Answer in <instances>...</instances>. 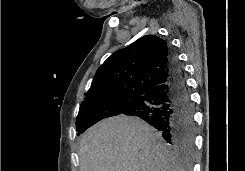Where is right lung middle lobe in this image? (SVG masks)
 <instances>
[{
	"label": "right lung middle lobe",
	"instance_id": "dd1d6c3e",
	"mask_svg": "<svg viewBox=\"0 0 245 171\" xmlns=\"http://www.w3.org/2000/svg\"><path fill=\"white\" fill-rule=\"evenodd\" d=\"M136 95H118L110 98L82 102L77 116V132L83 133L98 121L119 115L124 107L133 102Z\"/></svg>",
	"mask_w": 245,
	"mask_h": 171
}]
</instances>
